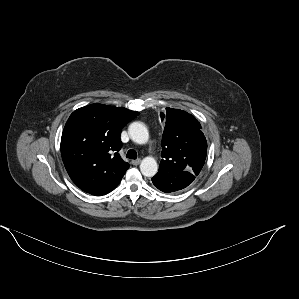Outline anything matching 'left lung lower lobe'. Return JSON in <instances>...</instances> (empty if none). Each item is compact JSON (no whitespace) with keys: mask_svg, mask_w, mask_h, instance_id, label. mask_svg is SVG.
I'll return each mask as SVG.
<instances>
[{"mask_svg":"<svg viewBox=\"0 0 299 299\" xmlns=\"http://www.w3.org/2000/svg\"><path fill=\"white\" fill-rule=\"evenodd\" d=\"M195 177L187 171L181 172H161L159 171L153 178V184L166 193L175 192L187 187Z\"/></svg>","mask_w":299,"mask_h":299,"instance_id":"obj_1","label":"left lung lower lobe"}]
</instances>
